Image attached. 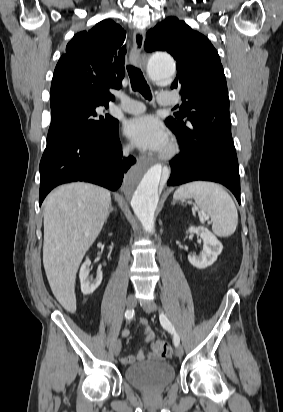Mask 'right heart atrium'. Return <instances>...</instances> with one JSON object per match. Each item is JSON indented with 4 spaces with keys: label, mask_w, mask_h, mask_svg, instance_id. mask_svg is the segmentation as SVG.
Instances as JSON below:
<instances>
[{
    "label": "right heart atrium",
    "mask_w": 283,
    "mask_h": 412,
    "mask_svg": "<svg viewBox=\"0 0 283 412\" xmlns=\"http://www.w3.org/2000/svg\"><path fill=\"white\" fill-rule=\"evenodd\" d=\"M131 150H132L131 145L125 144V145L123 146V152H124V153L128 154V153L131 152Z\"/></svg>",
    "instance_id": "d8ad5b80"
}]
</instances>
